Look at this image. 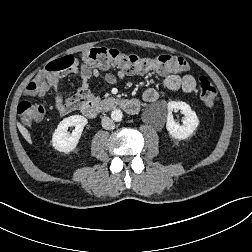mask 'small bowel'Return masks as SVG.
<instances>
[{"instance_id":"obj_1","label":"small bowel","mask_w":252,"mask_h":252,"mask_svg":"<svg viewBox=\"0 0 252 252\" xmlns=\"http://www.w3.org/2000/svg\"><path fill=\"white\" fill-rule=\"evenodd\" d=\"M66 74H75L79 77L81 83L77 87L74 95L65 97L61 92L57 90L58 80L54 82L55 89V108L61 115L69 114L75 110L81 108L83 103L87 101H95L97 95L91 90L89 84L93 78H102L107 84L114 85L123 80L126 76L124 71H119L117 75L107 72L103 76L99 70L95 67L79 63L75 61L73 66L66 70L61 76ZM164 75V85L171 91L182 90L185 93H192L196 89V80L192 75L180 76L172 73H162ZM60 76V77H61ZM59 77V78H60ZM159 94L154 88H148L143 93V99L146 102H154L158 99Z\"/></svg>"}]
</instances>
